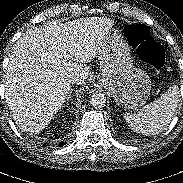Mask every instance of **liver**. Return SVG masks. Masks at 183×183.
Instances as JSON below:
<instances>
[{
	"mask_svg": "<svg viewBox=\"0 0 183 183\" xmlns=\"http://www.w3.org/2000/svg\"><path fill=\"white\" fill-rule=\"evenodd\" d=\"M113 25L107 17L47 21L18 39L6 68L5 99L21 130L37 134L50 123L71 90L68 76L86 80V63L100 52Z\"/></svg>",
	"mask_w": 183,
	"mask_h": 183,
	"instance_id": "1",
	"label": "liver"
}]
</instances>
